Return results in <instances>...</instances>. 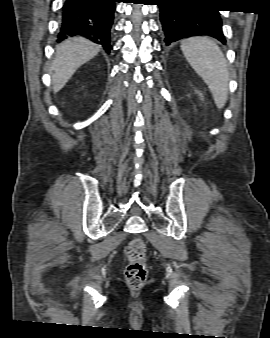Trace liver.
<instances>
[{"label": "liver", "mask_w": 270, "mask_h": 338, "mask_svg": "<svg viewBox=\"0 0 270 338\" xmlns=\"http://www.w3.org/2000/svg\"><path fill=\"white\" fill-rule=\"evenodd\" d=\"M100 48L85 39H72L56 47L55 59L51 66L53 92L60 91L75 71L95 57Z\"/></svg>", "instance_id": "obj_1"}]
</instances>
